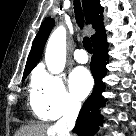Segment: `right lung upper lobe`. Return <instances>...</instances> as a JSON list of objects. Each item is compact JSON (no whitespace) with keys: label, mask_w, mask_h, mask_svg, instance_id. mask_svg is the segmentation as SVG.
Masks as SVG:
<instances>
[{"label":"right lung upper lobe","mask_w":136,"mask_h":136,"mask_svg":"<svg viewBox=\"0 0 136 136\" xmlns=\"http://www.w3.org/2000/svg\"><path fill=\"white\" fill-rule=\"evenodd\" d=\"M82 3L87 24H92L93 28L96 30V33L91 36L92 43L95 44L101 38L106 37L105 29L103 26V7L100 6L99 0H82ZM53 25L54 20L52 18H47L42 23L29 53L24 75L29 74L30 71L39 62L45 46V42L52 30Z\"/></svg>","instance_id":"1"}]
</instances>
